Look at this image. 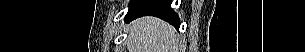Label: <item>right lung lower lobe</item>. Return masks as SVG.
<instances>
[{
    "instance_id": "obj_1",
    "label": "right lung lower lobe",
    "mask_w": 305,
    "mask_h": 52,
    "mask_svg": "<svg viewBox=\"0 0 305 52\" xmlns=\"http://www.w3.org/2000/svg\"><path fill=\"white\" fill-rule=\"evenodd\" d=\"M170 5V0H132L126 15V21H131L141 16L152 15L169 22L176 29H179V18L172 11Z\"/></svg>"
}]
</instances>
